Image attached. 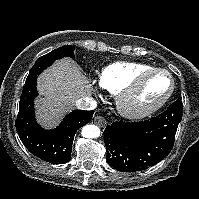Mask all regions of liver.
<instances>
[{"label": "liver", "mask_w": 199, "mask_h": 199, "mask_svg": "<svg viewBox=\"0 0 199 199\" xmlns=\"http://www.w3.org/2000/svg\"><path fill=\"white\" fill-rule=\"evenodd\" d=\"M37 89L41 98L36 100V115L46 128L56 127L63 116L74 108L78 99L92 93L90 80L71 59L57 61L39 76Z\"/></svg>", "instance_id": "obj_1"}]
</instances>
